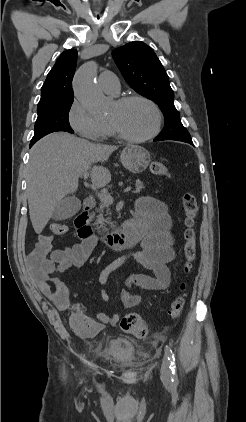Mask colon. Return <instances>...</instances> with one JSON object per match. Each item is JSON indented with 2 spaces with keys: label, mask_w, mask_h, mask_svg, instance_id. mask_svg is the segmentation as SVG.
<instances>
[{
  "label": "colon",
  "mask_w": 246,
  "mask_h": 422,
  "mask_svg": "<svg viewBox=\"0 0 246 422\" xmlns=\"http://www.w3.org/2000/svg\"><path fill=\"white\" fill-rule=\"evenodd\" d=\"M152 174L160 177L168 176V167L162 162H152L150 166ZM182 205L185 213V231H184V245L183 254L185 258L184 271L188 273L191 269L192 262L196 256V231L195 219L198 213V203L195 195L192 193H185L182 197ZM68 227L63 223H54L50 226L49 235H41L35 244L34 249L28 257V265L36 279H43L48 275L51 269V262L49 254L52 249V241L56 236L66 234ZM180 290H185V284L180 285ZM184 297L179 294L174 298L169 309L170 317L177 319L184 308ZM121 328L126 333L133 335L137 338H145L148 336V328L137 313H129L121 320Z\"/></svg>",
  "instance_id": "obj_1"
}]
</instances>
